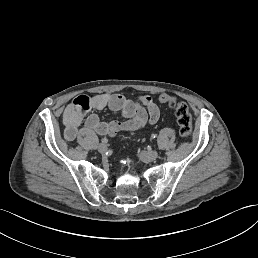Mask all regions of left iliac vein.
<instances>
[{"label":"left iliac vein","instance_id":"left-iliac-vein-1","mask_svg":"<svg viewBox=\"0 0 258 258\" xmlns=\"http://www.w3.org/2000/svg\"><path fill=\"white\" fill-rule=\"evenodd\" d=\"M158 156V151L157 150H152L151 152H140L139 153V158L143 159L144 163H149L152 160H155L156 157Z\"/></svg>","mask_w":258,"mask_h":258}]
</instances>
